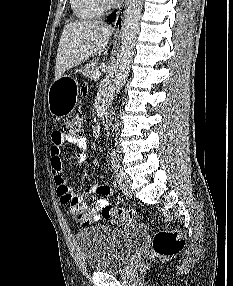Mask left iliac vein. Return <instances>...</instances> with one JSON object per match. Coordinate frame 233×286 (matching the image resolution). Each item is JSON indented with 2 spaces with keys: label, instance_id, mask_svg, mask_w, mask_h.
I'll list each match as a JSON object with an SVG mask.
<instances>
[{
  "label": "left iliac vein",
  "instance_id": "left-iliac-vein-1",
  "mask_svg": "<svg viewBox=\"0 0 233 286\" xmlns=\"http://www.w3.org/2000/svg\"><path fill=\"white\" fill-rule=\"evenodd\" d=\"M117 174V180L120 189L125 195H131V189H130V184H131V179L130 177L121 169L116 172Z\"/></svg>",
  "mask_w": 233,
  "mask_h": 286
}]
</instances>
